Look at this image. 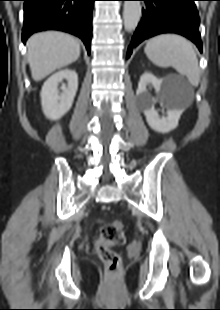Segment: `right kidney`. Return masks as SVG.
Wrapping results in <instances>:
<instances>
[{
	"label": "right kidney",
	"mask_w": 220,
	"mask_h": 310,
	"mask_svg": "<svg viewBox=\"0 0 220 310\" xmlns=\"http://www.w3.org/2000/svg\"><path fill=\"white\" fill-rule=\"evenodd\" d=\"M67 85L58 88L63 80ZM78 88V76L72 69H62L47 79L41 90V104L45 116L58 120L71 108Z\"/></svg>",
	"instance_id": "right-kidney-1"
}]
</instances>
